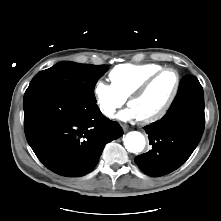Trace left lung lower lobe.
Here are the masks:
<instances>
[{
	"mask_svg": "<svg viewBox=\"0 0 221 221\" xmlns=\"http://www.w3.org/2000/svg\"><path fill=\"white\" fill-rule=\"evenodd\" d=\"M204 125L202 87L195 77H185L165 116L144 127L152 149L136 156V164L152 177L176 170L198 145Z\"/></svg>",
	"mask_w": 221,
	"mask_h": 221,
	"instance_id": "left-lung-lower-lobe-1",
	"label": "left lung lower lobe"
}]
</instances>
